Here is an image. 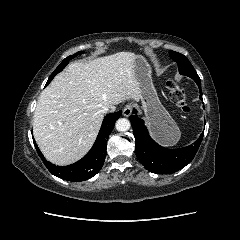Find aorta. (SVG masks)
I'll return each instance as SVG.
<instances>
[{
  "label": "aorta",
  "mask_w": 240,
  "mask_h": 240,
  "mask_svg": "<svg viewBox=\"0 0 240 240\" xmlns=\"http://www.w3.org/2000/svg\"><path fill=\"white\" fill-rule=\"evenodd\" d=\"M130 126H131L130 121L126 118H119L115 124L117 131L120 132L128 131L130 129Z\"/></svg>",
  "instance_id": "762f6f07"
}]
</instances>
